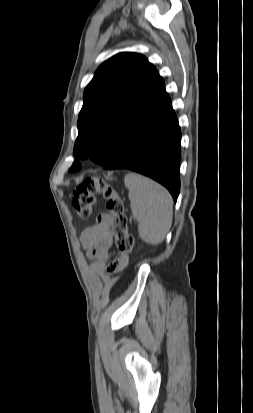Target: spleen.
<instances>
[{
    "mask_svg": "<svg viewBox=\"0 0 253 413\" xmlns=\"http://www.w3.org/2000/svg\"><path fill=\"white\" fill-rule=\"evenodd\" d=\"M131 211L138 222L139 237L148 244H160L173 220V200L170 193L157 182L137 173L124 178Z\"/></svg>",
    "mask_w": 253,
    "mask_h": 413,
    "instance_id": "spleen-1",
    "label": "spleen"
}]
</instances>
